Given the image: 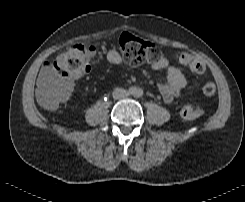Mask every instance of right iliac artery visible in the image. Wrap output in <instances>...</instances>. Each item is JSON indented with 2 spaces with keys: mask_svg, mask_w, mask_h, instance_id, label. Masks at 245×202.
Masks as SVG:
<instances>
[{
  "mask_svg": "<svg viewBox=\"0 0 245 202\" xmlns=\"http://www.w3.org/2000/svg\"><path fill=\"white\" fill-rule=\"evenodd\" d=\"M129 93H130V94L135 93V89H134L133 87H131V88L129 89Z\"/></svg>",
  "mask_w": 245,
  "mask_h": 202,
  "instance_id": "obj_1",
  "label": "right iliac artery"
}]
</instances>
